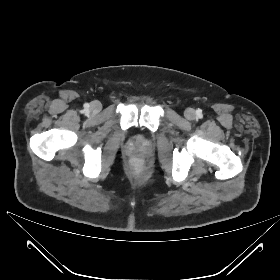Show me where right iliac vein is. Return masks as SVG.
Returning <instances> with one entry per match:
<instances>
[{
    "label": "right iliac vein",
    "mask_w": 280,
    "mask_h": 280,
    "mask_svg": "<svg viewBox=\"0 0 280 280\" xmlns=\"http://www.w3.org/2000/svg\"><path fill=\"white\" fill-rule=\"evenodd\" d=\"M102 106H101V103L98 102V101H94L92 104H91V111L93 113H98L100 110H101Z\"/></svg>",
    "instance_id": "right-iliac-vein-1"
}]
</instances>
